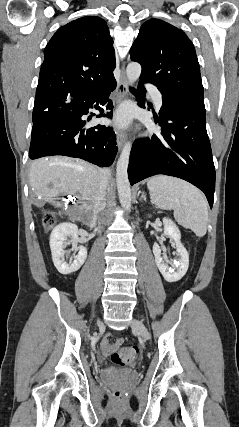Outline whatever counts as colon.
Masks as SVG:
<instances>
[{
	"mask_svg": "<svg viewBox=\"0 0 239 427\" xmlns=\"http://www.w3.org/2000/svg\"><path fill=\"white\" fill-rule=\"evenodd\" d=\"M54 223L55 220L51 214H47L44 216L43 224L45 228L49 229L53 227ZM139 352L140 350L138 346L123 347L112 354L111 360L114 364L118 366L127 367L132 365L136 361L139 356ZM113 395L117 400H120L123 398L124 392L122 389L118 388L114 391Z\"/></svg>",
	"mask_w": 239,
	"mask_h": 427,
	"instance_id": "5ec220e1",
	"label": "colon"
}]
</instances>
